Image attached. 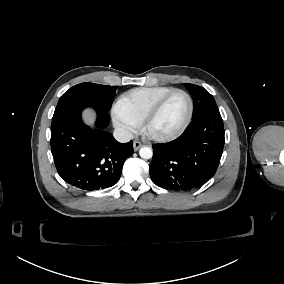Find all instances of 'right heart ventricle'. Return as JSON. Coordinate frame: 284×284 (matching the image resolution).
<instances>
[{
  "label": "right heart ventricle",
  "instance_id": "e07e8e85",
  "mask_svg": "<svg viewBox=\"0 0 284 284\" xmlns=\"http://www.w3.org/2000/svg\"><path fill=\"white\" fill-rule=\"evenodd\" d=\"M173 89L175 88L166 85L130 89L118 97L115 109L119 113L134 119L139 126L140 119L143 118L147 110Z\"/></svg>",
  "mask_w": 284,
  "mask_h": 284
}]
</instances>
